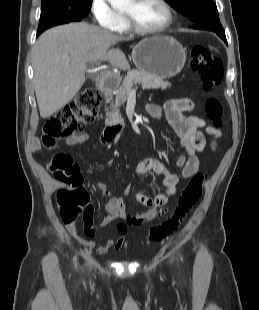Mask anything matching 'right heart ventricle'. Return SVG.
<instances>
[{
  "mask_svg": "<svg viewBox=\"0 0 259 310\" xmlns=\"http://www.w3.org/2000/svg\"><path fill=\"white\" fill-rule=\"evenodd\" d=\"M128 30V25H127V23H126V20L124 19V24H123V27H122V29L120 30V32H125V31H127Z\"/></svg>",
  "mask_w": 259,
  "mask_h": 310,
  "instance_id": "right-heart-ventricle-1",
  "label": "right heart ventricle"
}]
</instances>
